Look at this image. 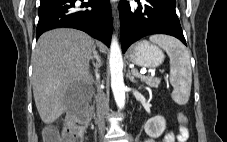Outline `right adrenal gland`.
<instances>
[{"instance_id": "right-adrenal-gland-1", "label": "right adrenal gland", "mask_w": 227, "mask_h": 142, "mask_svg": "<svg viewBox=\"0 0 227 142\" xmlns=\"http://www.w3.org/2000/svg\"><path fill=\"white\" fill-rule=\"evenodd\" d=\"M91 60L96 69L101 66V59L96 50L93 52V56L91 57Z\"/></svg>"}]
</instances>
